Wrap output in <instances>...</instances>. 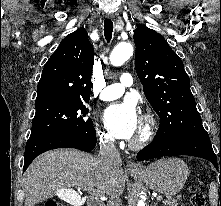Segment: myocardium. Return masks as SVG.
Here are the masks:
<instances>
[{"mask_svg": "<svg viewBox=\"0 0 221 206\" xmlns=\"http://www.w3.org/2000/svg\"><path fill=\"white\" fill-rule=\"evenodd\" d=\"M142 131L139 137L130 142V147L140 149L147 145L154 137L157 130V122L154 115L147 112L142 117Z\"/></svg>", "mask_w": 221, "mask_h": 206, "instance_id": "obj_1", "label": "myocardium"}]
</instances>
